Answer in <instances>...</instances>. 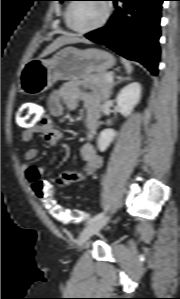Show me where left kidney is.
Returning <instances> with one entry per match:
<instances>
[{
	"instance_id": "1",
	"label": "left kidney",
	"mask_w": 180,
	"mask_h": 299,
	"mask_svg": "<svg viewBox=\"0 0 180 299\" xmlns=\"http://www.w3.org/2000/svg\"><path fill=\"white\" fill-rule=\"evenodd\" d=\"M141 98V85L133 82L125 86L117 95V107L119 112L127 117L131 114L134 107L139 103ZM117 132L113 129L103 130L98 138V148L101 152L105 151L113 142Z\"/></svg>"
}]
</instances>
